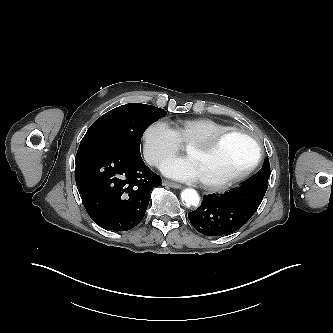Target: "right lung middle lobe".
<instances>
[{"label": "right lung middle lobe", "mask_w": 333, "mask_h": 333, "mask_svg": "<svg viewBox=\"0 0 333 333\" xmlns=\"http://www.w3.org/2000/svg\"><path fill=\"white\" fill-rule=\"evenodd\" d=\"M165 115L164 109L146 104L119 106L90 126L79 147L107 145L140 155V141L144 131Z\"/></svg>", "instance_id": "obj_1"}]
</instances>
